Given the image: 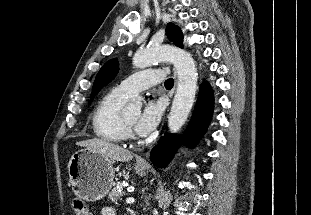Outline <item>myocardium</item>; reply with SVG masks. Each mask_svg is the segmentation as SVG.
<instances>
[{
  "mask_svg": "<svg viewBox=\"0 0 311 215\" xmlns=\"http://www.w3.org/2000/svg\"><path fill=\"white\" fill-rule=\"evenodd\" d=\"M123 121L127 128L131 127L132 124L126 119L125 114H123Z\"/></svg>",
  "mask_w": 311,
  "mask_h": 215,
  "instance_id": "f54148a6",
  "label": "myocardium"
}]
</instances>
